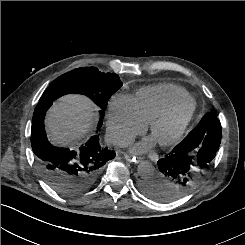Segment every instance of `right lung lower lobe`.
Masks as SVG:
<instances>
[{
  "label": "right lung lower lobe",
  "instance_id": "right-lung-lower-lobe-1",
  "mask_svg": "<svg viewBox=\"0 0 245 245\" xmlns=\"http://www.w3.org/2000/svg\"><path fill=\"white\" fill-rule=\"evenodd\" d=\"M53 101L37 104L32 120L31 144L38 170L46 183L65 197L86 192L97 181L102 166L115 157L114 151L99 144L98 135L92 136L79 149L52 145L46 136L44 118Z\"/></svg>",
  "mask_w": 245,
  "mask_h": 245
}]
</instances>
